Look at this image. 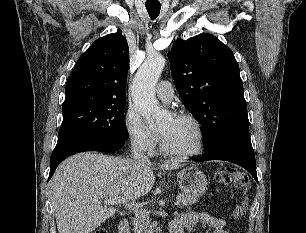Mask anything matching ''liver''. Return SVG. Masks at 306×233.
Listing matches in <instances>:
<instances>
[{"label": "liver", "mask_w": 306, "mask_h": 233, "mask_svg": "<svg viewBox=\"0 0 306 233\" xmlns=\"http://www.w3.org/2000/svg\"><path fill=\"white\" fill-rule=\"evenodd\" d=\"M182 166V160L174 159L158 167L174 170ZM154 180L151 162L138 164L133 159L96 152L69 157L50 181L58 233L93 232L115 214L116 209L108 202L110 198L134 201L150 192Z\"/></svg>", "instance_id": "liver-1"}]
</instances>
